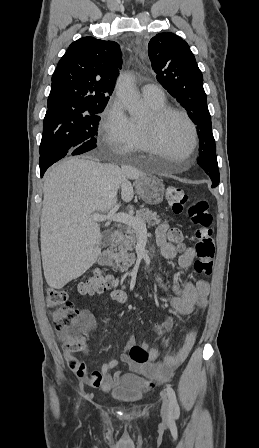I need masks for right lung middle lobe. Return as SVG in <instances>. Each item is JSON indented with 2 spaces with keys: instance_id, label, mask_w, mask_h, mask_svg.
Instances as JSON below:
<instances>
[{
  "instance_id": "obj_1",
  "label": "right lung middle lobe",
  "mask_w": 259,
  "mask_h": 448,
  "mask_svg": "<svg viewBox=\"0 0 259 448\" xmlns=\"http://www.w3.org/2000/svg\"><path fill=\"white\" fill-rule=\"evenodd\" d=\"M105 106L67 114L46 113L39 147L40 155L69 151L79 155L96 147L99 114Z\"/></svg>"
}]
</instances>
